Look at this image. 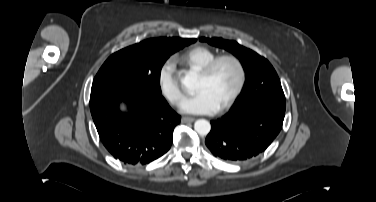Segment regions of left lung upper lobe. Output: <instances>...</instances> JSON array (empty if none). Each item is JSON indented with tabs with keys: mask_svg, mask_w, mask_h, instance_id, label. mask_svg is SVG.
I'll list each match as a JSON object with an SVG mask.
<instances>
[{
	"mask_svg": "<svg viewBox=\"0 0 376 202\" xmlns=\"http://www.w3.org/2000/svg\"><path fill=\"white\" fill-rule=\"evenodd\" d=\"M211 45L224 48L237 56L246 72L243 95L233 110L245 108L254 103H267L279 109H286L284 92L278 75L272 65L256 52L235 41L222 38H200Z\"/></svg>",
	"mask_w": 376,
	"mask_h": 202,
	"instance_id": "1",
	"label": "left lung upper lobe"
}]
</instances>
